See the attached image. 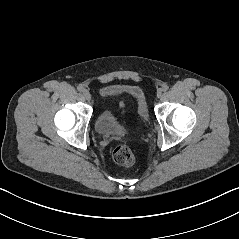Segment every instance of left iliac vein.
<instances>
[{"instance_id": "1", "label": "left iliac vein", "mask_w": 239, "mask_h": 239, "mask_svg": "<svg viewBox=\"0 0 239 239\" xmlns=\"http://www.w3.org/2000/svg\"><path fill=\"white\" fill-rule=\"evenodd\" d=\"M156 95H157V97H158V98H160V97H161V95H162V90H161V89H160V90H158Z\"/></svg>"}]
</instances>
